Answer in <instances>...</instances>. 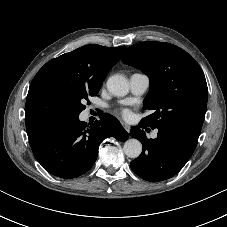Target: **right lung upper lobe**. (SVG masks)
Segmentation results:
<instances>
[{"instance_id": "right-lung-upper-lobe-1", "label": "right lung upper lobe", "mask_w": 227, "mask_h": 227, "mask_svg": "<svg viewBox=\"0 0 227 227\" xmlns=\"http://www.w3.org/2000/svg\"><path fill=\"white\" fill-rule=\"evenodd\" d=\"M126 47L86 45L47 62L30 85L25 122L30 145L48 132L71 120L70 104L80 89L99 90L110 69L121 59Z\"/></svg>"}]
</instances>
